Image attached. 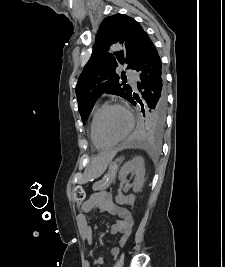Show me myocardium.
<instances>
[{"label": "myocardium", "mask_w": 225, "mask_h": 267, "mask_svg": "<svg viewBox=\"0 0 225 267\" xmlns=\"http://www.w3.org/2000/svg\"><path fill=\"white\" fill-rule=\"evenodd\" d=\"M116 108L123 109L127 113L128 117H129V126H128L126 133L121 138L116 139V140H109L104 136V134L102 132V121H103V119H104V117L108 111H110L112 109H116ZM133 127H134V116H133L132 112L125 105L120 104V103H111V104L105 105L102 108V110L100 111V113L96 119V123H95V129H96V133L98 135V138L101 141H103L104 143L109 144L111 146H114V145H117V144L124 142L129 137L130 133L133 130Z\"/></svg>", "instance_id": "obj_1"}]
</instances>
